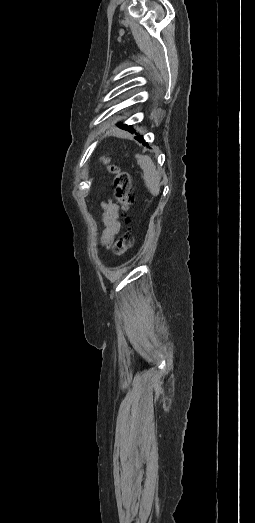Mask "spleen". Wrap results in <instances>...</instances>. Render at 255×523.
Here are the masks:
<instances>
[{
	"instance_id": "spleen-1",
	"label": "spleen",
	"mask_w": 255,
	"mask_h": 523,
	"mask_svg": "<svg viewBox=\"0 0 255 523\" xmlns=\"http://www.w3.org/2000/svg\"><path fill=\"white\" fill-rule=\"evenodd\" d=\"M135 158H137L138 166H140L144 172L143 178L147 188L150 190V194H152V196H158L160 192V176H158L156 166H154L150 156H140V154H136Z\"/></svg>"
}]
</instances>
